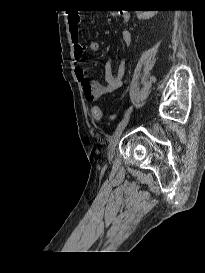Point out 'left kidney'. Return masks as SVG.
Instances as JSON below:
<instances>
[{
  "mask_svg": "<svg viewBox=\"0 0 205 273\" xmlns=\"http://www.w3.org/2000/svg\"><path fill=\"white\" fill-rule=\"evenodd\" d=\"M158 11H136L137 18L142 20H147L152 18L155 14H157Z\"/></svg>",
  "mask_w": 205,
  "mask_h": 273,
  "instance_id": "5707ae66",
  "label": "left kidney"
}]
</instances>
